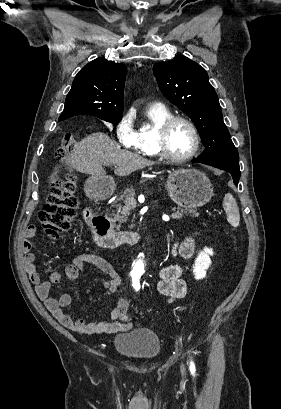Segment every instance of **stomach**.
I'll use <instances>...</instances> for the list:
<instances>
[{
  "label": "stomach",
  "mask_w": 281,
  "mask_h": 409,
  "mask_svg": "<svg viewBox=\"0 0 281 409\" xmlns=\"http://www.w3.org/2000/svg\"><path fill=\"white\" fill-rule=\"evenodd\" d=\"M115 182L109 178H95L90 176L86 180L84 190L87 196L94 200H105L115 190ZM168 194L176 205L195 209L203 207L213 196V186L206 174L197 168H178L169 172L166 180Z\"/></svg>",
  "instance_id": "obj_1"
}]
</instances>
